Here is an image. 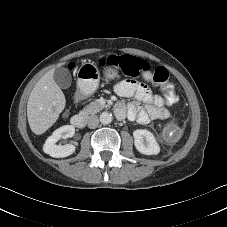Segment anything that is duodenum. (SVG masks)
Returning <instances> with one entry per match:
<instances>
[{"mask_svg": "<svg viewBox=\"0 0 227 227\" xmlns=\"http://www.w3.org/2000/svg\"><path fill=\"white\" fill-rule=\"evenodd\" d=\"M86 95H87V90H86V87H85V82L80 81L77 85V89H76V92H75V99L77 101L81 100ZM71 123L77 129H84L85 126H86V117L82 114L74 115L71 119Z\"/></svg>", "mask_w": 227, "mask_h": 227, "instance_id": "duodenum-1", "label": "duodenum"}]
</instances>
